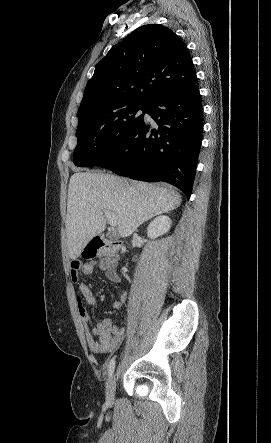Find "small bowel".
<instances>
[{"instance_id": "1", "label": "small bowel", "mask_w": 271, "mask_h": 443, "mask_svg": "<svg viewBox=\"0 0 271 443\" xmlns=\"http://www.w3.org/2000/svg\"><path fill=\"white\" fill-rule=\"evenodd\" d=\"M106 277L111 282L123 285V282L115 270L114 264L101 263ZM94 264L81 263L79 260H73L70 265V276L73 282L79 280V273L82 271L85 275H89L93 272ZM80 294L77 296V310L78 314L84 324L86 332V340L89 349L94 353L106 354L114 351L121 344L124 335L125 327L119 325L111 318H104L97 324L91 323L90 315L84 306V302L88 305L95 306L96 298L93 295L89 286L83 282L79 284ZM127 299L126 291H123L119 298L113 302L112 307L114 309H120L123 307Z\"/></svg>"}]
</instances>
